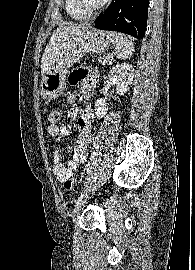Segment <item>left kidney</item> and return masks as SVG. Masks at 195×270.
<instances>
[{
	"instance_id": "obj_1",
	"label": "left kidney",
	"mask_w": 195,
	"mask_h": 270,
	"mask_svg": "<svg viewBox=\"0 0 195 270\" xmlns=\"http://www.w3.org/2000/svg\"><path fill=\"white\" fill-rule=\"evenodd\" d=\"M134 68L129 63H122L113 67L108 75V82L116 86L117 94L123 95L132 84ZM108 111V106L103 98L95 102V114L97 118H103Z\"/></svg>"
}]
</instances>
